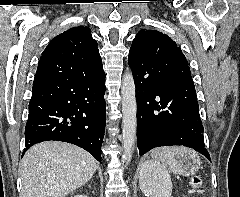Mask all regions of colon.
Segmentation results:
<instances>
[{"mask_svg": "<svg viewBox=\"0 0 240 197\" xmlns=\"http://www.w3.org/2000/svg\"><path fill=\"white\" fill-rule=\"evenodd\" d=\"M191 185L193 187V190L197 192L201 185V179L199 177H194L191 181Z\"/></svg>", "mask_w": 240, "mask_h": 197, "instance_id": "5ec220e1", "label": "colon"}]
</instances>
